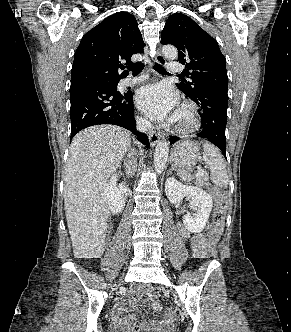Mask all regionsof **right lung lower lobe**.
<instances>
[{"label": "right lung lower lobe", "instance_id": "obj_1", "mask_svg": "<svg viewBox=\"0 0 291 332\" xmlns=\"http://www.w3.org/2000/svg\"><path fill=\"white\" fill-rule=\"evenodd\" d=\"M70 116L71 139L86 127L113 124L132 131L149 146L147 135L136 131L132 93H120L115 84L95 81L71 88Z\"/></svg>", "mask_w": 291, "mask_h": 332}]
</instances>
